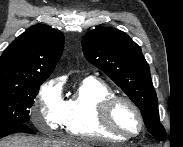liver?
Wrapping results in <instances>:
<instances>
[{"label": "liver", "instance_id": "obj_1", "mask_svg": "<svg viewBox=\"0 0 183 147\" xmlns=\"http://www.w3.org/2000/svg\"><path fill=\"white\" fill-rule=\"evenodd\" d=\"M0 147H92L91 144L73 138L43 139L14 135L0 141Z\"/></svg>", "mask_w": 183, "mask_h": 147}]
</instances>
